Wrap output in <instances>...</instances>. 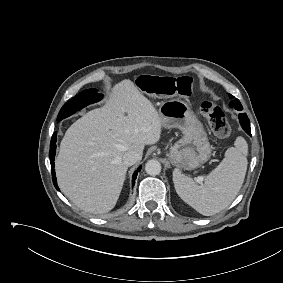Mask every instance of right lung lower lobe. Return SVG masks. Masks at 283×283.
Wrapping results in <instances>:
<instances>
[{
  "label": "right lung lower lobe",
  "mask_w": 283,
  "mask_h": 283,
  "mask_svg": "<svg viewBox=\"0 0 283 283\" xmlns=\"http://www.w3.org/2000/svg\"><path fill=\"white\" fill-rule=\"evenodd\" d=\"M56 136H57V133L55 132L52 135V139H51V143H50L49 157H50V163H51L52 180H53L55 188L57 190H59V188L57 186V181H56V177H55V170H54V156H55V152H56ZM141 168H142L141 166L138 167L137 171L133 174L132 185H134L135 179L137 177V172L140 171Z\"/></svg>",
  "instance_id": "right-lung-lower-lobe-1"
}]
</instances>
